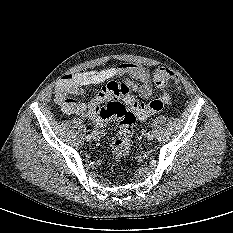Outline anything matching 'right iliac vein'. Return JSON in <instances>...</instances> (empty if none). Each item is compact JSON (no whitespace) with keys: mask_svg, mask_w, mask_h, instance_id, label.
I'll use <instances>...</instances> for the list:
<instances>
[{"mask_svg":"<svg viewBox=\"0 0 233 233\" xmlns=\"http://www.w3.org/2000/svg\"><path fill=\"white\" fill-rule=\"evenodd\" d=\"M97 137H98V134H97L96 132H93V133H92V138H93V139H96Z\"/></svg>","mask_w":233,"mask_h":233,"instance_id":"63e3f726","label":"right iliac vein"}]
</instances>
